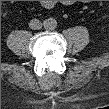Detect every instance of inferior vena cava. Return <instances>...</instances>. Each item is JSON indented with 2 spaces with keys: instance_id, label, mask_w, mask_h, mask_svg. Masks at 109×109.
<instances>
[{
  "instance_id": "1",
  "label": "inferior vena cava",
  "mask_w": 109,
  "mask_h": 109,
  "mask_svg": "<svg viewBox=\"0 0 109 109\" xmlns=\"http://www.w3.org/2000/svg\"><path fill=\"white\" fill-rule=\"evenodd\" d=\"M29 27L33 30H38L42 28V23L38 19H32L29 22Z\"/></svg>"
}]
</instances>
